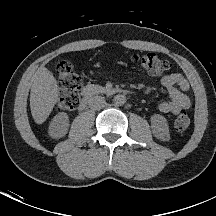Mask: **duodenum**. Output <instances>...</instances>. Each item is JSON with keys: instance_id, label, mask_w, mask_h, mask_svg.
<instances>
[{"instance_id": "410a0bca", "label": "duodenum", "mask_w": 216, "mask_h": 216, "mask_svg": "<svg viewBox=\"0 0 216 216\" xmlns=\"http://www.w3.org/2000/svg\"><path fill=\"white\" fill-rule=\"evenodd\" d=\"M95 92H96L95 89H89L87 92L84 93V95L81 98L80 104H79L80 110H84L88 106V104H89V102H90V100H91V98ZM104 93L106 95H124L127 92H126V90L121 89V88H109V89L105 90Z\"/></svg>"}]
</instances>
